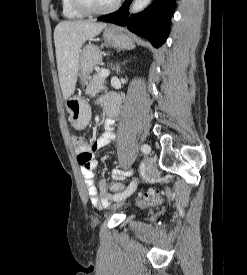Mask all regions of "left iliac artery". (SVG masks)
<instances>
[{
	"label": "left iliac artery",
	"instance_id": "left-iliac-artery-1",
	"mask_svg": "<svg viewBox=\"0 0 247 275\" xmlns=\"http://www.w3.org/2000/svg\"><path fill=\"white\" fill-rule=\"evenodd\" d=\"M151 148L149 145L147 144H144L141 146V151L145 154H149ZM136 186H137V182L136 180H133L130 185L128 186V188L126 189L127 191L126 192H122V193H118V194H115L113 196V200L114 201H119V200H122L123 198H125L127 196V193H132L134 192V190L136 189Z\"/></svg>",
	"mask_w": 247,
	"mask_h": 275
}]
</instances>
